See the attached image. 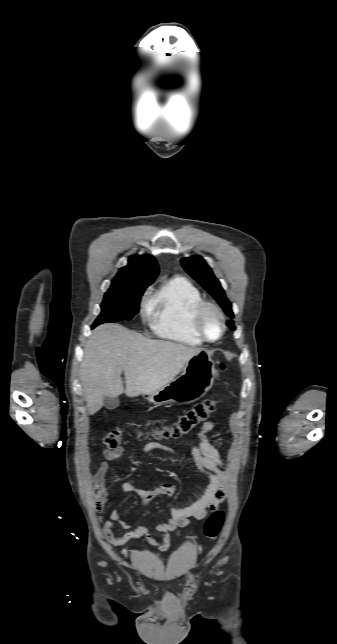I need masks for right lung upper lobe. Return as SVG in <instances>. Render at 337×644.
Returning a JSON list of instances; mask_svg holds the SVG:
<instances>
[{"instance_id": "obj_1", "label": "right lung upper lobe", "mask_w": 337, "mask_h": 644, "mask_svg": "<svg viewBox=\"0 0 337 644\" xmlns=\"http://www.w3.org/2000/svg\"><path fill=\"white\" fill-rule=\"evenodd\" d=\"M158 273L155 258L149 255H134L129 258L127 266L120 268L110 288L147 287L154 282Z\"/></svg>"}]
</instances>
